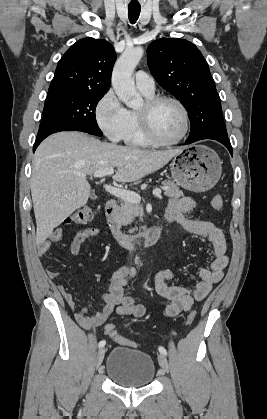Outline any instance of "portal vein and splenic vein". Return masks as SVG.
Listing matches in <instances>:
<instances>
[{"mask_svg":"<svg viewBox=\"0 0 267 419\" xmlns=\"http://www.w3.org/2000/svg\"><path fill=\"white\" fill-rule=\"evenodd\" d=\"M114 174V168H104L101 170L96 171L93 176L97 178H103L107 175ZM80 176H86L84 174H80ZM104 188L107 192H109L111 195L121 198L123 200H126L131 203L139 204L141 202V197L139 194L125 189H120L111 185H104ZM162 193V190L159 188H156L153 190V195L160 197Z\"/></svg>","mask_w":267,"mask_h":419,"instance_id":"18ae733b","label":"portal vein and splenic vein"}]
</instances>
